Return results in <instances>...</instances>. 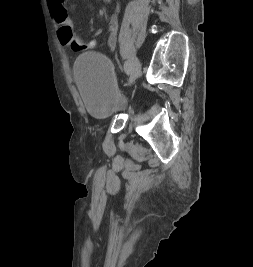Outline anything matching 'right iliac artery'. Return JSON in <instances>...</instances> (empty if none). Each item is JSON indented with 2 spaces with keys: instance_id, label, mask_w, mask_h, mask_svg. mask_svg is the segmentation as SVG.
Instances as JSON below:
<instances>
[{
  "instance_id": "right-iliac-artery-1",
  "label": "right iliac artery",
  "mask_w": 253,
  "mask_h": 267,
  "mask_svg": "<svg viewBox=\"0 0 253 267\" xmlns=\"http://www.w3.org/2000/svg\"><path fill=\"white\" fill-rule=\"evenodd\" d=\"M130 67H131L130 61H126L125 64H124V69H125L127 74L130 73Z\"/></svg>"
}]
</instances>
